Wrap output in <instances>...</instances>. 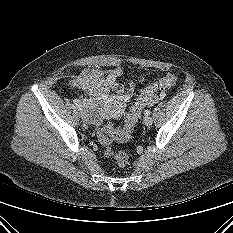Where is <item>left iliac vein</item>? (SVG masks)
Here are the masks:
<instances>
[{
  "label": "left iliac vein",
  "mask_w": 233,
  "mask_h": 233,
  "mask_svg": "<svg viewBox=\"0 0 233 233\" xmlns=\"http://www.w3.org/2000/svg\"><path fill=\"white\" fill-rule=\"evenodd\" d=\"M143 122L146 126H151L153 123V119L150 116H145Z\"/></svg>",
  "instance_id": "obj_1"
}]
</instances>
